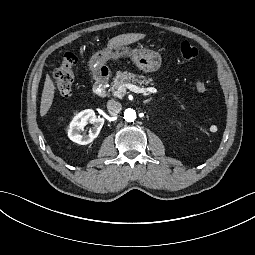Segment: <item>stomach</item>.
<instances>
[{
  "label": "stomach",
  "mask_w": 255,
  "mask_h": 255,
  "mask_svg": "<svg viewBox=\"0 0 255 255\" xmlns=\"http://www.w3.org/2000/svg\"><path fill=\"white\" fill-rule=\"evenodd\" d=\"M124 56L131 57L136 66L146 73L157 71L161 66V56L158 53L149 49H130L127 45H122L96 52L90 59V70L96 73L108 60H117Z\"/></svg>",
  "instance_id": "1"
}]
</instances>
